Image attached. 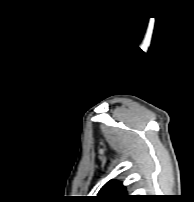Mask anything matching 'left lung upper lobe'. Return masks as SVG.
<instances>
[{"mask_svg": "<svg viewBox=\"0 0 194 202\" xmlns=\"http://www.w3.org/2000/svg\"><path fill=\"white\" fill-rule=\"evenodd\" d=\"M97 198L102 202H123L131 200L132 195L126 194L122 184L111 180L102 187Z\"/></svg>", "mask_w": 194, "mask_h": 202, "instance_id": "left-lung-upper-lobe-1", "label": "left lung upper lobe"}]
</instances>
